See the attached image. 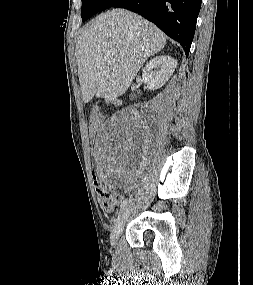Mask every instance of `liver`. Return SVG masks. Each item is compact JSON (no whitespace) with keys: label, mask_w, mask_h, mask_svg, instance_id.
<instances>
[{"label":"liver","mask_w":253,"mask_h":285,"mask_svg":"<svg viewBox=\"0 0 253 285\" xmlns=\"http://www.w3.org/2000/svg\"><path fill=\"white\" fill-rule=\"evenodd\" d=\"M165 45L166 35L135 13L114 9L98 16L76 44L83 101L121 96L145 60Z\"/></svg>","instance_id":"6515ba94"}]
</instances>
